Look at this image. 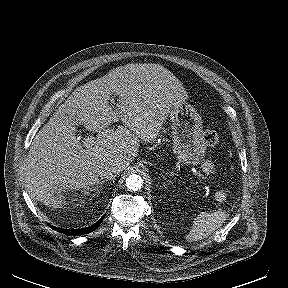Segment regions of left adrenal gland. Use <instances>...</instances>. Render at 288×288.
I'll use <instances>...</instances> for the list:
<instances>
[{"label": "left adrenal gland", "instance_id": "1", "mask_svg": "<svg viewBox=\"0 0 288 288\" xmlns=\"http://www.w3.org/2000/svg\"><path fill=\"white\" fill-rule=\"evenodd\" d=\"M162 176H163V178H164L165 180L167 179V178H165V175H163V174H162ZM168 181H170V182H171V180H169V179H168Z\"/></svg>", "mask_w": 288, "mask_h": 288}]
</instances>
